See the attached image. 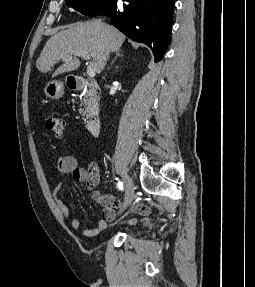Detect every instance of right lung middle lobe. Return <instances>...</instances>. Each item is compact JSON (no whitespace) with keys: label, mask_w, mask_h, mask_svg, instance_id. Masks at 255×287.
Instances as JSON below:
<instances>
[{"label":"right lung middle lobe","mask_w":255,"mask_h":287,"mask_svg":"<svg viewBox=\"0 0 255 287\" xmlns=\"http://www.w3.org/2000/svg\"><path fill=\"white\" fill-rule=\"evenodd\" d=\"M66 2L69 7L89 17L97 14L108 15L117 5L116 0H66Z\"/></svg>","instance_id":"right-lung-middle-lobe-1"}]
</instances>
